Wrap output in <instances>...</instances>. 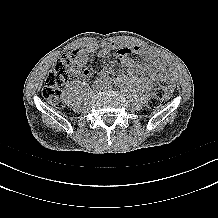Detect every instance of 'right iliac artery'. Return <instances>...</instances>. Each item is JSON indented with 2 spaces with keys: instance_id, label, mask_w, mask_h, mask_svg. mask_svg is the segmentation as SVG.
Returning <instances> with one entry per match:
<instances>
[{
  "instance_id": "82829eb1",
  "label": "right iliac artery",
  "mask_w": 218,
  "mask_h": 218,
  "mask_svg": "<svg viewBox=\"0 0 218 218\" xmlns=\"http://www.w3.org/2000/svg\"><path fill=\"white\" fill-rule=\"evenodd\" d=\"M106 80V79H105ZM104 79L103 78H100L98 79V81H95L94 84H97V83H103Z\"/></svg>"
}]
</instances>
